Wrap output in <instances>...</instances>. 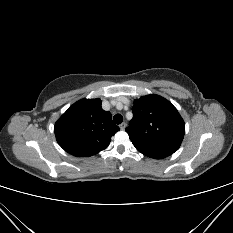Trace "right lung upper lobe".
<instances>
[{"mask_svg": "<svg viewBox=\"0 0 233 233\" xmlns=\"http://www.w3.org/2000/svg\"><path fill=\"white\" fill-rule=\"evenodd\" d=\"M119 130L104 111L100 99H81L74 103L55 123L59 145L77 157L92 156L104 150Z\"/></svg>", "mask_w": 233, "mask_h": 233, "instance_id": "1", "label": "right lung upper lobe"}]
</instances>
